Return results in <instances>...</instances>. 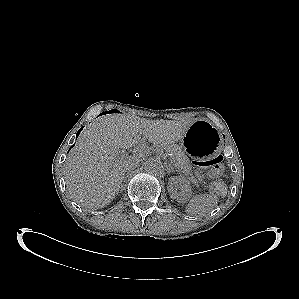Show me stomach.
I'll return each instance as SVG.
<instances>
[{
	"mask_svg": "<svg viewBox=\"0 0 299 299\" xmlns=\"http://www.w3.org/2000/svg\"><path fill=\"white\" fill-rule=\"evenodd\" d=\"M220 134L214 125L206 119L194 121L183 139L187 154L196 161H207L217 152Z\"/></svg>",
	"mask_w": 299,
	"mask_h": 299,
	"instance_id": "obj_1",
	"label": "stomach"
}]
</instances>
